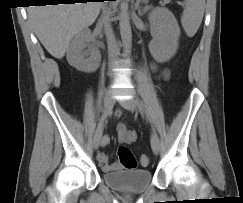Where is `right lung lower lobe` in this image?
Returning a JSON list of instances; mask_svg holds the SVG:
<instances>
[{"mask_svg": "<svg viewBox=\"0 0 243 203\" xmlns=\"http://www.w3.org/2000/svg\"><path fill=\"white\" fill-rule=\"evenodd\" d=\"M64 1L63 3H74L72 2L73 0H62ZM98 1H104V0H98ZM110 1H115V0H110Z\"/></svg>", "mask_w": 243, "mask_h": 203, "instance_id": "obj_1", "label": "right lung lower lobe"}]
</instances>
